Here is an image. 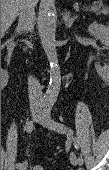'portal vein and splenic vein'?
Listing matches in <instances>:
<instances>
[{
	"instance_id": "18ae733b",
	"label": "portal vein and splenic vein",
	"mask_w": 109,
	"mask_h": 170,
	"mask_svg": "<svg viewBox=\"0 0 109 170\" xmlns=\"http://www.w3.org/2000/svg\"><path fill=\"white\" fill-rule=\"evenodd\" d=\"M93 8H94V7H93ZM76 10L79 11V8L77 7ZM87 10H88V8H87Z\"/></svg>"
}]
</instances>
